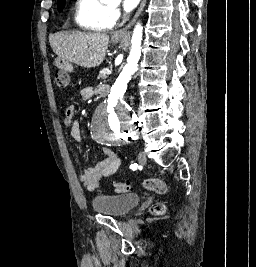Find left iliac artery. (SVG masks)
I'll use <instances>...</instances> for the list:
<instances>
[{
    "instance_id": "left-iliac-artery-1",
    "label": "left iliac artery",
    "mask_w": 256,
    "mask_h": 267,
    "mask_svg": "<svg viewBox=\"0 0 256 267\" xmlns=\"http://www.w3.org/2000/svg\"><path fill=\"white\" fill-rule=\"evenodd\" d=\"M137 167H138V165H137L136 163L130 165V168H131L132 170L137 169Z\"/></svg>"
}]
</instances>
